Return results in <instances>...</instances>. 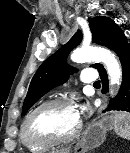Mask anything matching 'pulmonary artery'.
<instances>
[{"mask_svg": "<svg viewBox=\"0 0 130 153\" xmlns=\"http://www.w3.org/2000/svg\"><path fill=\"white\" fill-rule=\"evenodd\" d=\"M97 76L95 70H85L81 74V81L85 84L94 83L97 81Z\"/></svg>", "mask_w": 130, "mask_h": 153, "instance_id": "obj_1", "label": "pulmonary artery"}]
</instances>
